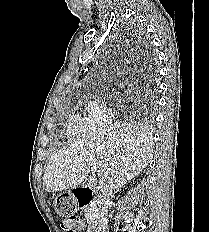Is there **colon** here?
<instances>
[{
    "mask_svg": "<svg viewBox=\"0 0 209 232\" xmlns=\"http://www.w3.org/2000/svg\"><path fill=\"white\" fill-rule=\"evenodd\" d=\"M77 223H79V221H65L62 226L67 232H74L73 226Z\"/></svg>",
    "mask_w": 209,
    "mask_h": 232,
    "instance_id": "obj_1",
    "label": "colon"
}]
</instances>
